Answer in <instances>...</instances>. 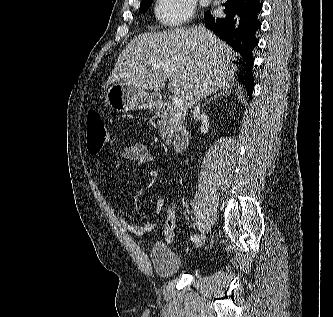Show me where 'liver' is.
<instances>
[{"instance_id": "1", "label": "liver", "mask_w": 333, "mask_h": 317, "mask_svg": "<svg viewBox=\"0 0 333 317\" xmlns=\"http://www.w3.org/2000/svg\"><path fill=\"white\" fill-rule=\"evenodd\" d=\"M233 49L204 28L142 33L122 50L109 83L124 80L151 91L168 89L192 108L224 88L237 70ZM168 69H172L169 73Z\"/></svg>"}]
</instances>
